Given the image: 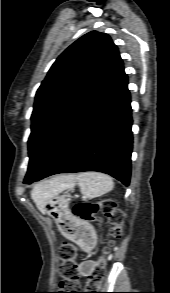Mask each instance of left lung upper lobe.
I'll return each instance as SVG.
<instances>
[{
    "label": "left lung upper lobe",
    "instance_id": "obj_1",
    "mask_svg": "<svg viewBox=\"0 0 170 293\" xmlns=\"http://www.w3.org/2000/svg\"><path fill=\"white\" fill-rule=\"evenodd\" d=\"M123 72L116 45L96 31L79 38L56 59L36 93L25 179L41 173L62 151Z\"/></svg>",
    "mask_w": 170,
    "mask_h": 293
}]
</instances>
